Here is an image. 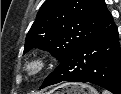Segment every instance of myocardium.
<instances>
[{
    "label": "myocardium",
    "mask_w": 121,
    "mask_h": 94,
    "mask_svg": "<svg viewBox=\"0 0 121 94\" xmlns=\"http://www.w3.org/2000/svg\"><path fill=\"white\" fill-rule=\"evenodd\" d=\"M47 67V60L44 56H33L23 64L24 72L32 78L39 77Z\"/></svg>",
    "instance_id": "f54148a6"
}]
</instances>
